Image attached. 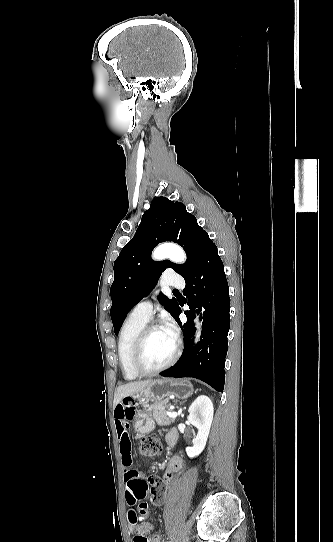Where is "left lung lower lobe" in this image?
<instances>
[{"instance_id":"1","label":"left lung lower lobe","mask_w":333,"mask_h":542,"mask_svg":"<svg viewBox=\"0 0 333 542\" xmlns=\"http://www.w3.org/2000/svg\"><path fill=\"white\" fill-rule=\"evenodd\" d=\"M184 279L186 287L183 293L188 298L187 304L191 310L185 311L187 322L182 324L179 314L180 305L183 304L179 301L175 316L184 335L183 354L174 366L160 375L194 377L222 392L230 327V299L224 266L211 239L204 246L195 269ZM193 308L201 312V319L203 315L202 339L196 348L193 347L192 339L195 333Z\"/></svg>"}]
</instances>
